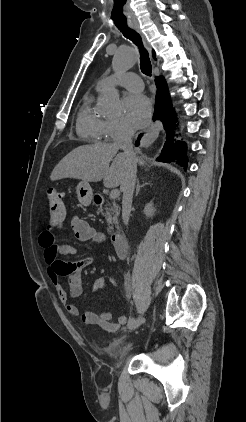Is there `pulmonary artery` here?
<instances>
[{"label": "pulmonary artery", "instance_id": "obj_1", "mask_svg": "<svg viewBox=\"0 0 246 422\" xmlns=\"http://www.w3.org/2000/svg\"><path fill=\"white\" fill-rule=\"evenodd\" d=\"M109 86H122L136 92H140L143 89L141 78L137 74L131 72L119 75H110L102 78L97 83V88L100 90Z\"/></svg>", "mask_w": 246, "mask_h": 422}]
</instances>
